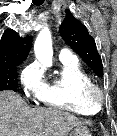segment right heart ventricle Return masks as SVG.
I'll list each match as a JSON object with an SVG mask.
<instances>
[{"label": "right heart ventricle", "mask_w": 117, "mask_h": 136, "mask_svg": "<svg viewBox=\"0 0 117 136\" xmlns=\"http://www.w3.org/2000/svg\"><path fill=\"white\" fill-rule=\"evenodd\" d=\"M60 73L46 85L41 101L52 108L65 110L77 115L96 114L99 108L90 105L83 98L90 76L76 60L61 61Z\"/></svg>", "instance_id": "right-heart-ventricle-1"}]
</instances>
